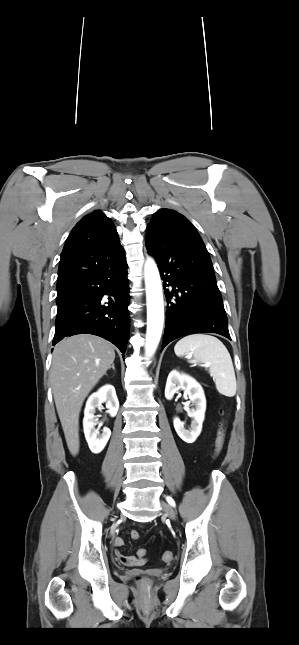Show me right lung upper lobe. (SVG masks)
<instances>
[{
	"label": "right lung upper lobe",
	"mask_w": 299,
	"mask_h": 645,
	"mask_svg": "<svg viewBox=\"0 0 299 645\" xmlns=\"http://www.w3.org/2000/svg\"><path fill=\"white\" fill-rule=\"evenodd\" d=\"M124 257L113 222L99 210L91 212L75 225L66 240L58 269L57 291L73 287Z\"/></svg>",
	"instance_id": "1"
}]
</instances>
